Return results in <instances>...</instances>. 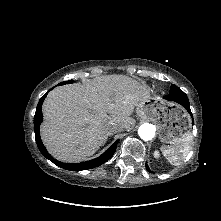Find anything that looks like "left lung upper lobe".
Instances as JSON below:
<instances>
[{
  "instance_id": "left-lung-upper-lobe-1",
  "label": "left lung upper lobe",
  "mask_w": 221,
  "mask_h": 221,
  "mask_svg": "<svg viewBox=\"0 0 221 221\" xmlns=\"http://www.w3.org/2000/svg\"><path fill=\"white\" fill-rule=\"evenodd\" d=\"M176 91H180V88L172 84L170 88V92H176Z\"/></svg>"
}]
</instances>
